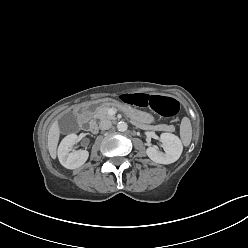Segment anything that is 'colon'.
<instances>
[{
	"label": "colon",
	"mask_w": 248,
	"mask_h": 248,
	"mask_svg": "<svg viewBox=\"0 0 248 248\" xmlns=\"http://www.w3.org/2000/svg\"><path fill=\"white\" fill-rule=\"evenodd\" d=\"M122 100L126 104L142 107L149 106L156 113L164 117H173L179 110V104L175 99L160 95L149 96L146 93L124 94Z\"/></svg>",
	"instance_id": "1"
}]
</instances>
